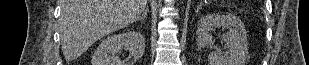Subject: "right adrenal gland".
<instances>
[{
  "label": "right adrenal gland",
  "mask_w": 309,
  "mask_h": 65,
  "mask_svg": "<svg viewBox=\"0 0 309 65\" xmlns=\"http://www.w3.org/2000/svg\"><path fill=\"white\" fill-rule=\"evenodd\" d=\"M147 13H148V7H146V9L144 10L143 14L139 17V19L137 21L145 20L146 17H147Z\"/></svg>",
  "instance_id": "2a0ac1e0"
}]
</instances>
